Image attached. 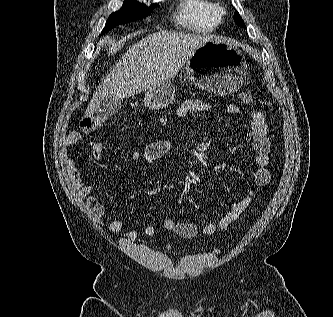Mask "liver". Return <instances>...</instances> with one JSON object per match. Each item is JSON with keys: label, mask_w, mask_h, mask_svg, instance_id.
<instances>
[{"label": "liver", "mask_w": 333, "mask_h": 317, "mask_svg": "<svg viewBox=\"0 0 333 317\" xmlns=\"http://www.w3.org/2000/svg\"><path fill=\"white\" fill-rule=\"evenodd\" d=\"M212 39L210 35L176 31H159L142 38L129 47L104 78L84 116L93 115L106 99L130 98L175 77L194 51Z\"/></svg>", "instance_id": "1"}]
</instances>
